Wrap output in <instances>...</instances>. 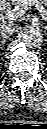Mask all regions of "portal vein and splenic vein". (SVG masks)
<instances>
[{"instance_id": "1", "label": "portal vein and splenic vein", "mask_w": 47, "mask_h": 129, "mask_svg": "<svg viewBox=\"0 0 47 129\" xmlns=\"http://www.w3.org/2000/svg\"><path fill=\"white\" fill-rule=\"evenodd\" d=\"M29 6H35L44 15L47 13L45 8L40 5L37 0H25L21 5H17L11 11L7 12L6 16L10 19H17L23 16L28 11Z\"/></svg>"}]
</instances>
